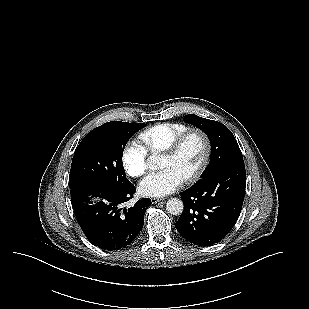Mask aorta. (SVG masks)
<instances>
[{"instance_id":"762f6f07","label":"aorta","mask_w":309,"mask_h":309,"mask_svg":"<svg viewBox=\"0 0 309 309\" xmlns=\"http://www.w3.org/2000/svg\"><path fill=\"white\" fill-rule=\"evenodd\" d=\"M155 162H156V157L155 156L151 157L149 161L150 165L154 166ZM183 209H184V204L180 199L171 198L167 201L166 210L171 215H180L183 212Z\"/></svg>"}]
</instances>
